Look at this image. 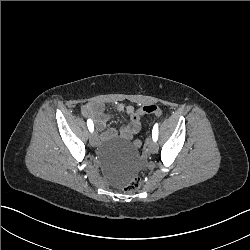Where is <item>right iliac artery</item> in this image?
<instances>
[{
  "label": "right iliac artery",
  "instance_id": "right-iliac-artery-1",
  "mask_svg": "<svg viewBox=\"0 0 250 250\" xmlns=\"http://www.w3.org/2000/svg\"><path fill=\"white\" fill-rule=\"evenodd\" d=\"M87 126H88L89 131L93 132V130H94V124H93V122H92L91 119L87 120Z\"/></svg>",
  "mask_w": 250,
  "mask_h": 250
}]
</instances>
